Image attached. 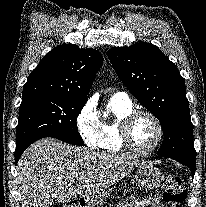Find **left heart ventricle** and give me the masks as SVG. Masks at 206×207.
Listing matches in <instances>:
<instances>
[{"label":"left heart ventricle","instance_id":"b2bd125f","mask_svg":"<svg viewBox=\"0 0 206 207\" xmlns=\"http://www.w3.org/2000/svg\"><path fill=\"white\" fill-rule=\"evenodd\" d=\"M156 137L157 128L153 121L146 116L138 118L130 128L131 143L137 150L150 148Z\"/></svg>","mask_w":206,"mask_h":207}]
</instances>
